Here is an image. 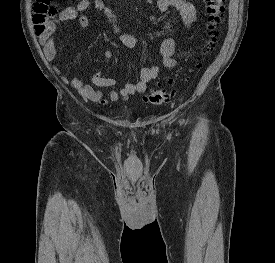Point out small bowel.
Masks as SVG:
<instances>
[{
    "label": "small bowel",
    "instance_id": "1",
    "mask_svg": "<svg viewBox=\"0 0 275 263\" xmlns=\"http://www.w3.org/2000/svg\"><path fill=\"white\" fill-rule=\"evenodd\" d=\"M156 8L160 13H165L171 8L178 10L187 31L192 28L196 20L195 7L187 0H156ZM90 9L95 10L105 17L106 21L126 47L134 48L136 46L135 37L124 32L119 27L115 7L105 3L103 0H81L76 5L68 6L62 10L54 20L49 31L40 36V43L43 46L46 59L48 61L55 60L53 68L61 77L62 81L73 87L83 98L101 104H108L118 99L126 100L130 96L144 93L147 84L158 77L161 69L172 71L176 68L177 61L174 58L176 42L173 37L165 35L162 37L160 43L161 64L159 66L142 67L139 71V80L128 83L120 89L111 90L107 93L96 89V87L115 85V79L105 76L103 70H99L91 76L92 84H88L77 77L64 75L60 68V61L56 59L57 50L54 39L55 25L65 21H76L78 27L86 28L90 22L86 12ZM112 58L113 54L110 51H104L103 60L106 65L112 61Z\"/></svg>",
    "mask_w": 275,
    "mask_h": 263
}]
</instances>
